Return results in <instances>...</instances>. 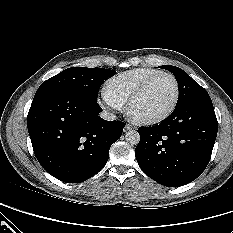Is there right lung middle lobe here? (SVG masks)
I'll use <instances>...</instances> for the list:
<instances>
[{
    "label": "right lung middle lobe",
    "mask_w": 233,
    "mask_h": 233,
    "mask_svg": "<svg viewBox=\"0 0 233 233\" xmlns=\"http://www.w3.org/2000/svg\"><path fill=\"white\" fill-rule=\"evenodd\" d=\"M114 72L104 68L72 67L65 69L40 85L33 102L56 90H69L97 100L100 86Z\"/></svg>",
    "instance_id": "obj_1"
}]
</instances>
